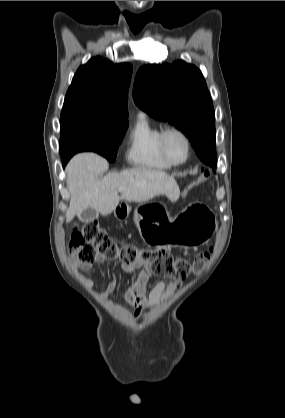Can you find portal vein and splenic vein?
I'll use <instances>...</instances> for the list:
<instances>
[{
    "label": "portal vein and splenic vein",
    "mask_w": 285,
    "mask_h": 418,
    "mask_svg": "<svg viewBox=\"0 0 285 418\" xmlns=\"http://www.w3.org/2000/svg\"><path fill=\"white\" fill-rule=\"evenodd\" d=\"M118 191L119 192H123L124 191V188H119Z\"/></svg>",
    "instance_id": "portal-vein-and-splenic-vein-1"
}]
</instances>
